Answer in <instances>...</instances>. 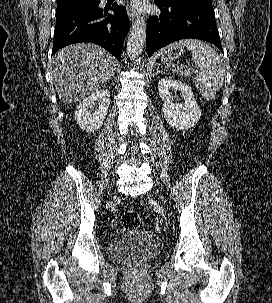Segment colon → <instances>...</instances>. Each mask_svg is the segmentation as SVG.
I'll return each mask as SVG.
<instances>
[{
    "instance_id": "colon-1",
    "label": "colon",
    "mask_w": 272,
    "mask_h": 303,
    "mask_svg": "<svg viewBox=\"0 0 272 303\" xmlns=\"http://www.w3.org/2000/svg\"><path fill=\"white\" fill-rule=\"evenodd\" d=\"M121 225L126 229H136L140 226L139 214L134 210H127L121 216Z\"/></svg>"
}]
</instances>
